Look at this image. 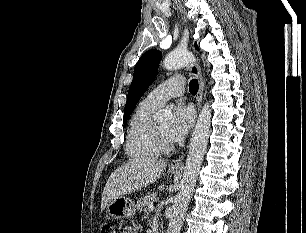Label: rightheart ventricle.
Here are the masks:
<instances>
[{"label": "right heart ventricle", "mask_w": 306, "mask_h": 233, "mask_svg": "<svg viewBox=\"0 0 306 233\" xmlns=\"http://www.w3.org/2000/svg\"><path fill=\"white\" fill-rule=\"evenodd\" d=\"M158 107L143 100L132 115L127 131L125 152L133 161L157 158L161 151L154 137L153 116Z\"/></svg>", "instance_id": "obj_1"}]
</instances>
